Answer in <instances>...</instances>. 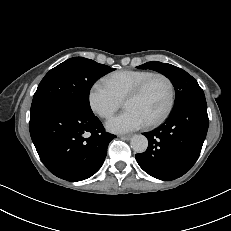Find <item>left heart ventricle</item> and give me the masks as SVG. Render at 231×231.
<instances>
[{
  "label": "left heart ventricle",
  "mask_w": 231,
  "mask_h": 231,
  "mask_svg": "<svg viewBox=\"0 0 231 231\" xmlns=\"http://www.w3.org/2000/svg\"><path fill=\"white\" fill-rule=\"evenodd\" d=\"M170 87L163 78H155L137 99L124 104L126 110H134L148 123L158 118L167 108Z\"/></svg>",
  "instance_id": "1"
}]
</instances>
